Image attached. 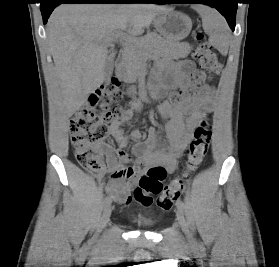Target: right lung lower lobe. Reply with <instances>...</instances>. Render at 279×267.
Listing matches in <instances>:
<instances>
[{"label": "right lung lower lobe", "mask_w": 279, "mask_h": 267, "mask_svg": "<svg viewBox=\"0 0 279 267\" xmlns=\"http://www.w3.org/2000/svg\"><path fill=\"white\" fill-rule=\"evenodd\" d=\"M142 0H43L40 9L46 24L52 11L61 3H141Z\"/></svg>", "instance_id": "1"}]
</instances>
